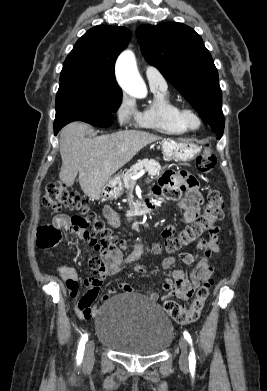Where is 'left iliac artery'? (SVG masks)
Masks as SVG:
<instances>
[{
	"instance_id": "1",
	"label": "left iliac artery",
	"mask_w": 267,
	"mask_h": 391,
	"mask_svg": "<svg viewBox=\"0 0 267 391\" xmlns=\"http://www.w3.org/2000/svg\"><path fill=\"white\" fill-rule=\"evenodd\" d=\"M184 337L185 339L189 342L190 345H192V339H191V336L190 334L185 331L184 332ZM195 363H196V360H195V353L194 351L192 350L191 353H190V356H189V368L191 371H194L195 369Z\"/></svg>"
}]
</instances>
